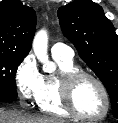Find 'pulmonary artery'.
Masks as SVG:
<instances>
[{"label":"pulmonary artery","mask_w":118,"mask_h":123,"mask_svg":"<svg viewBox=\"0 0 118 123\" xmlns=\"http://www.w3.org/2000/svg\"><path fill=\"white\" fill-rule=\"evenodd\" d=\"M53 58H60L71 61L74 57V51L71 47L63 43H55L51 47Z\"/></svg>","instance_id":"pulmonary-artery-1"}]
</instances>
